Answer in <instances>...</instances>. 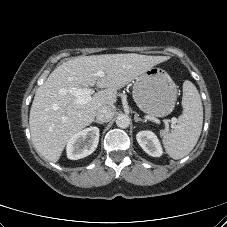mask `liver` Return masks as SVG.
<instances>
[{"mask_svg":"<svg viewBox=\"0 0 227 227\" xmlns=\"http://www.w3.org/2000/svg\"><path fill=\"white\" fill-rule=\"evenodd\" d=\"M167 59L136 53L105 54L76 57L58 66L36 90L30 110V132L37 151L48 161L57 162L69 139L93 122L98 109L116 103L119 89ZM98 71L104 76H98ZM94 85L102 90L84 104L77 103L69 91Z\"/></svg>","mask_w":227,"mask_h":227,"instance_id":"liver-1","label":"liver"}]
</instances>
